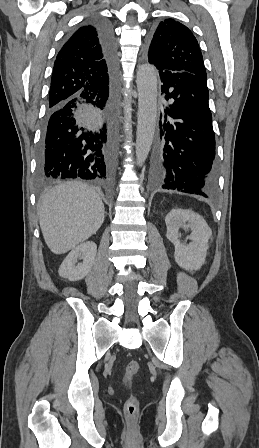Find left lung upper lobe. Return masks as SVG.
Masks as SVG:
<instances>
[{
  "mask_svg": "<svg viewBox=\"0 0 259 448\" xmlns=\"http://www.w3.org/2000/svg\"><path fill=\"white\" fill-rule=\"evenodd\" d=\"M149 63L159 71L188 72L206 79L199 44L193 33L173 19L159 23L148 48Z\"/></svg>",
  "mask_w": 259,
  "mask_h": 448,
  "instance_id": "1",
  "label": "left lung upper lobe"
}]
</instances>
